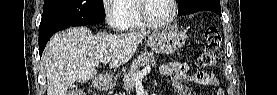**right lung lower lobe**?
I'll return each mask as SVG.
<instances>
[{"label": "right lung lower lobe", "mask_w": 277, "mask_h": 95, "mask_svg": "<svg viewBox=\"0 0 277 95\" xmlns=\"http://www.w3.org/2000/svg\"><path fill=\"white\" fill-rule=\"evenodd\" d=\"M85 25H90V24H85ZM68 27H71V26H54V27H50V28L39 31V53H40V56L42 55V52H43L48 40L50 39V37L57 31L62 30L64 28H68Z\"/></svg>", "instance_id": "obj_1"}]
</instances>
